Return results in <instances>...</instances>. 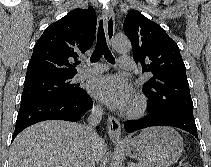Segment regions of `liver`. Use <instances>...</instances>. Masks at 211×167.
<instances>
[{
	"label": "liver",
	"instance_id": "obj_1",
	"mask_svg": "<svg viewBox=\"0 0 211 167\" xmlns=\"http://www.w3.org/2000/svg\"><path fill=\"white\" fill-rule=\"evenodd\" d=\"M106 154L103 141L93 142L80 123L43 121L22 131L11 146L9 167H82L86 152Z\"/></svg>",
	"mask_w": 211,
	"mask_h": 167
}]
</instances>
